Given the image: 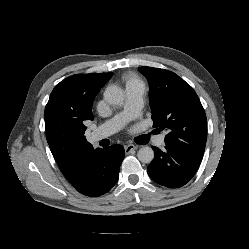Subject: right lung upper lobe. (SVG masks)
<instances>
[{"instance_id":"obj_1","label":"right lung upper lobe","mask_w":249,"mask_h":249,"mask_svg":"<svg viewBox=\"0 0 249 249\" xmlns=\"http://www.w3.org/2000/svg\"><path fill=\"white\" fill-rule=\"evenodd\" d=\"M112 75H73L57 84L50 95L44 112L46 137L65 177L72 173L78 158L96 150L84 136V124L93 120L92 102Z\"/></svg>"}]
</instances>
